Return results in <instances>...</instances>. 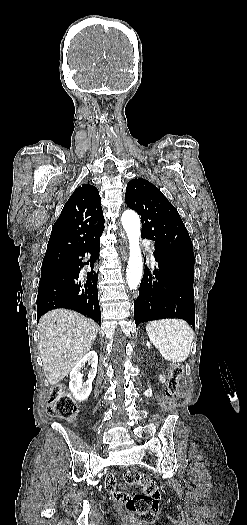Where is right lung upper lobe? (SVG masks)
<instances>
[{
	"mask_svg": "<svg viewBox=\"0 0 247 525\" xmlns=\"http://www.w3.org/2000/svg\"><path fill=\"white\" fill-rule=\"evenodd\" d=\"M96 187L79 186L64 205L55 222L42 266L55 256H68L99 237L104 230V218Z\"/></svg>",
	"mask_w": 247,
	"mask_h": 525,
	"instance_id": "1",
	"label": "right lung upper lobe"
}]
</instances>
